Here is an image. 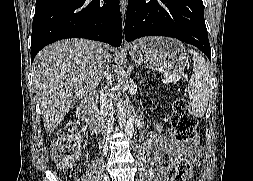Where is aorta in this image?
Returning a JSON list of instances; mask_svg holds the SVG:
<instances>
[{
    "label": "aorta",
    "mask_w": 253,
    "mask_h": 181,
    "mask_svg": "<svg viewBox=\"0 0 253 181\" xmlns=\"http://www.w3.org/2000/svg\"><path fill=\"white\" fill-rule=\"evenodd\" d=\"M117 111H118V114H117V119L119 121L118 123V128H125V124H126V108L123 107V103H122V100L119 99V102H118V108H117Z\"/></svg>",
    "instance_id": "aorta-1"
}]
</instances>
